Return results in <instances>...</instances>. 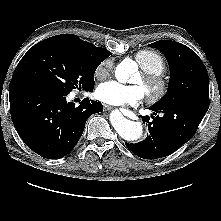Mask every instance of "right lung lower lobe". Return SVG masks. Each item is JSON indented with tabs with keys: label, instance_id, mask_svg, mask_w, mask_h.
<instances>
[{
	"label": "right lung lower lobe",
	"instance_id": "obj_1",
	"mask_svg": "<svg viewBox=\"0 0 221 221\" xmlns=\"http://www.w3.org/2000/svg\"><path fill=\"white\" fill-rule=\"evenodd\" d=\"M66 95L22 79L10 82L13 124L23 142L42 157L67 155L82 136L89 116L103 111L101 103L88 98L75 107Z\"/></svg>",
	"mask_w": 221,
	"mask_h": 221
}]
</instances>
